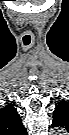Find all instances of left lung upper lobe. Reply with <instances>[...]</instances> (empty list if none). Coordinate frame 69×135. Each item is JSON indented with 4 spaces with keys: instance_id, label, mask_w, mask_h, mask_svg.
Instances as JSON below:
<instances>
[{
    "instance_id": "left-lung-upper-lobe-1",
    "label": "left lung upper lobe",
    "mask_w": 69,
    "mask_h": 135,
    "mask_svg": "<svg viewBox=\"0 0 69 135\" xmlns=\"http://www.w3.org/2000/svg\"><path fill=\"white\" fill-rule=\"evenodd\" d=\"M66 105H67V102H65V101H63V102L61 101V102L58 103V105L55 108V111L53 113V121L57 117H59V115L64 111L63 109H65Z\"/></svg>"
}]
</instances>
